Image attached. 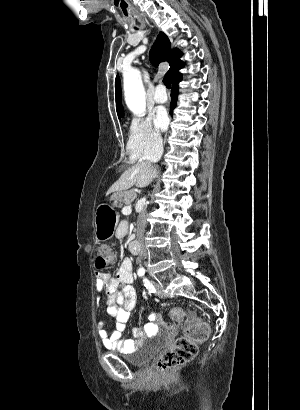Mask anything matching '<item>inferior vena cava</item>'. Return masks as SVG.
Returning a JSON list of instances; mask_svg holds the SVG:
<instances>
[{
	"label": "inferior vena cava",
	"instance_id": "602c4592",
	"mask_svg": "<svg viewBox=\"0 0 300 410\" xmlns=\"http://www.w3.org/2000/svg\"><path fill=\"white\" fill-rule=\"evenodd\" d=\"M152 149L147 151L140 162L143 166H151V164L155 161H158L161 157V152L163 149L162 138L160 136L154 137L151 142ZM145 210L143 209L138 215V231H137V242L140 248V257L141 259L145 256V243L146 240L143 237L144 229H145Z\"/></svg>",
	"mask_w": 300,
	"mask_h": 410
}]
</instances>
